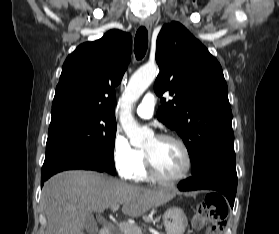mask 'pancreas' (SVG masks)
I'll return each instance as SVG.
<instances>
[{"label": "pancreas", "mask_w": 279, "mask_h": 234, "mask_svg": "<svg viewBox=\"0 0 279 234\" xmlns=\"http://www.w3.org/2000/svg\"><path fill=\"white\" fill-rule=\"evenodd\" d=\"M130 226H131L132 231H130L129 233L120 231L118 234H142L141 228L139 226H135V225H130ZM158 234H163V233H158Z\"/></svg>", "instance_id": "obj_1"}]
</instances>
